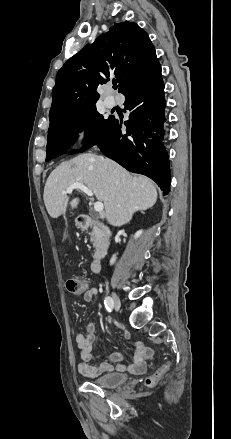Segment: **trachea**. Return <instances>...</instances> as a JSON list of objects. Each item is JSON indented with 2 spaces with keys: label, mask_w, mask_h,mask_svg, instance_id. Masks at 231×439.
Here are the masks:
<instances>
[{
  "label": "trachea",
  "mask_w": 231,
  "mask_h": 439,
  "mask_svg": "<svg viewBox=\"0 0 231 439\" xmlns=\"http://www.w3.org/2000/svg\"><path fill=\"white\" fill-rule=\"evenodd\" d=\"M113 88L116 90L117 89V85H113Z\"/></svg>",
  "instance_id": "obj_1"
}]
</instances>
